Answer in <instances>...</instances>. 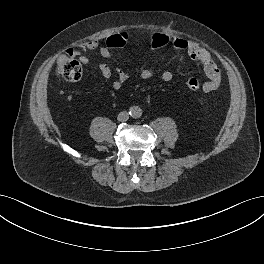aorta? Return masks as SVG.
Returning <instances> with one entry per match:
<instances>
[{"label": "aorta", "mask_w": 264, "mask_h": 264, "mask_svg": "<svg viewBox=\"0 0 264 264\" xmlns=\"http://www.w3.org/2000/svg\"><path fill=\"white\" fill-rule=\"evenodd\" d=\"M130 115L133 117V118H139L141 117L142 115V109L138 106H133L131 109H130Z\"/></svg>", "instance_id": "obj_1"}]
</instances>
